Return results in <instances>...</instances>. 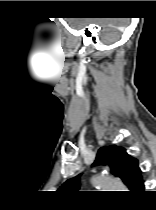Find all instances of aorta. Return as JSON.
<instances>
[{"mask_svg":"<svg viewBox=\"0 0 156 210\" xmlns=\"http://www.w3.org/2000/svg\"><path fill=\"white\" fill-rule=\"evenodd\" d=\"M92 183L96 188L102 189L103 191H120V189H124L121 182L103 174L94 176Z\"/></svg>","mask_w":156,"mask_h":210,"instance_id":"aorta-1","label":"aorta"}]
</instances>
